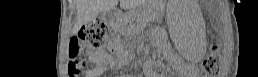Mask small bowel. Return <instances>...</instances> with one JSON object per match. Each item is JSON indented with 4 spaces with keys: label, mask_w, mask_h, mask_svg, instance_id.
<instances>
[{
    "label": "small bowel",
    "mask_w": 258,
    "mask_h": 77,
    "mask_svg": "<svg viewBox=\"0 0 258 77\" xmlns=\"http://www.w3.org/2000/svg\"><path fill=\"white\" fill-rule=\"evenodd\" d=\"M93 57L96 59V65L91 71V74H97L102 72L109 65L111 53L95 54Z\"/></svg>",
    "instance_id": "1"
}]
</instances>
